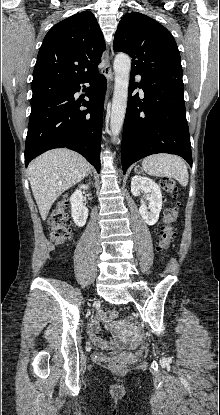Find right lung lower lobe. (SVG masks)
<instances>
[{"label":"right lung lower lobe","instance_id":"right-lung-lower-lobe-1","mask_svg":"<svg viewBox=\"0 0 220 415\" xmlns=\"http://www.w3.org/2000/svg\"><path fill=\"white\" fill-rule=\"evenodd\" d=\"M90 83L89 101L75 100L81 83ZM106 78L96 72L71 82L60 96L31 107L25 165L45 151L67 147L83 155L100 172V144ZM81 106L88 109L80 110Z\"/></svg>","mask_w":220,"mask_h":415}]
</instances>
